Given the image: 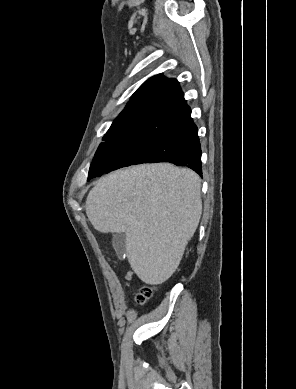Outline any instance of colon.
<instances>
[{
    "label": "colon",
    "mask_w": 296,
    "mask_h": 389,
    "mask_svg": "<svg viewBox=\"0 0 296 389\" xmlns=\"http://www.w3.org/2000/svg\"><path fill=\"white\" fill-rule=\"evenodd\" d=\"M154 287L152 286H144L139 292L136 294L135 301L137 304H144L153 294Z\"/></svg>",
    "instance_id": "obj_1"
}]
</instances>
